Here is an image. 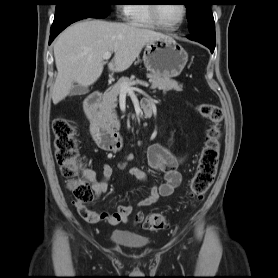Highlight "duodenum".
Masks as SVG:
<instances>
[{
    "instance_id": "duodenum-1",
    "label": "duodenum",
    "mask_w": 278,
    "mask_h": 278,
    "mask_svg": "<svg viewBox=\"0 0 278 278\" xmlns=\"http://www.w3.org/2000/svg\"><path fill=\"white\" fill-rule=\"evenodd\" d=\"M100 98L99 91L91 93L84 100V112L90 121V130L97 144L103 149L117 151L123 146V139L119 132L108 126L99 116ZM143 109L146 116L151 115V106L146 101L143 102Z\"/></svg>"
}]
</instances>
